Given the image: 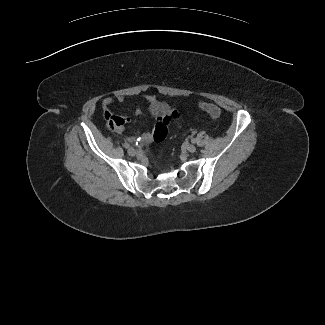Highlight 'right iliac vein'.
I'll return each instance as SVG.
<instances>
[{
  "label": "right iliac vein",
  "mask_w": 325,
  "mask_h": 325,
  "mask_svg": "<svg viewBox=\"0 0 325 325\" xmlns=\"http://www.w3.org/2000/svg\"><path fill=\"white\" fill-rule=\"evenodd\" d=\"M127 151H128V154L131 155V156H134L136 154L135 149L132 148V147H129Z\"/></svg>",
  "instance_id": "right-iliac-vein-1"
}]
</instances>
